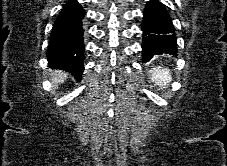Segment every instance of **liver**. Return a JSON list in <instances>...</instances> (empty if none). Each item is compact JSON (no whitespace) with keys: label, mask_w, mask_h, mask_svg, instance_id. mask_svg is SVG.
Wrapping results in <instances>:
<instances>
[{"label":"liver","mask_w":227,"mask_h":166,"mask_svg":"<svg viewBox=\"0 0 227 166\" xmlns=\"http://www.w3.org/2000/svg\"><path fill=\"white\" fill-rule=\"evenodd\" d=\"M66 78L67 74L62 71H54L51 74V80L56 86L63 83L66 80Z\"/></svg>","instance_id":"1"}]
</instances>
